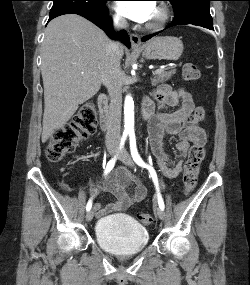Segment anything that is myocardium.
I'll list each match as a JSON object with an SVG mask.
<instances>
[{
    "label": "myocardium",
    "instance_id": "1",
    "mask_svg": "<svg viewBox=\"0 0 250 285\" xmlns=\"http://www.w3.org/2000/svg\"><path fill=\"white\" fill-rule=\"evenodd\" d=\"M156 9L158 11L157 18L154 21L148 22L146 24V29L150 31H157L162 29L169 19V8L168 6L160 2L156 5Z\"/></svg>",
    "mask_w": 250,
    "mask_h": 285
}]
</instances>
